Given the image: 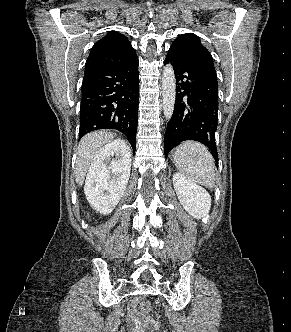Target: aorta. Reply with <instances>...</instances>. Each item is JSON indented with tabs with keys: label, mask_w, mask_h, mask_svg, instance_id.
Here are the masks:
<instances>
[{
	"label": "aorta",
	"mask_w": 291,
	"mask_h": 332,
	"mask_svg": "<svg viewBox=\"0 0 291 332\" xmlns=\"http://www.w3.org/2000/svg\"><path fill=\"white\" fill-rule=\"evenodd\" d=\"M176 99V80L172 65L167 64L164 67L162 75V100L163 114L166 121H169L174 112Z\"/></svg>",
	"instance_id": "aorta-1"
}]
</instances>
